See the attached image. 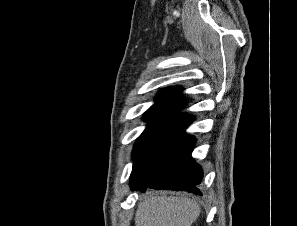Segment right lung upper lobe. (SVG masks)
<instances>
[{
  "label": "right lung upper lobe",
  "mask_w": 297,
  "mask_h": 226,
  "mask_svg": "<svg viewBox=\"0 0 297 226\" xmlns=\"http://www.w3.org/2000/svg\"><path fill=\"white\" fill-rule=\"evenodd\" d=\"M180 87H169L159 93V98L143 116L144 120L169 121L174 118L185 107L181 98Z\"/></svg>",
  "instance_id": "right-lung-upper-lobe-1"
}]
</instances>
